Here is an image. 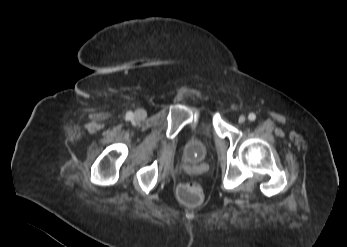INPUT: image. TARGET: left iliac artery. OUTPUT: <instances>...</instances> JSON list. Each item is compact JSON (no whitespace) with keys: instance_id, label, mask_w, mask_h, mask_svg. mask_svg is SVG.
Masks as SVG:
<instances>
[{"instance_id":"44dca946","label":"left iliac artery","mask_w":347,"mask_h":247,"mask_svg":"<svg viewBox=\"0 0 347 247\" xmlns=\"http://www.w3.org/2000/svg\"><path fill=\"white\" fill-rule=\"evenodd\" d=\"M248 119H249L250 121H254V120L256 119V115H255L254 113H250V114L248 115Z\"/></svg>"}]
</instances>
